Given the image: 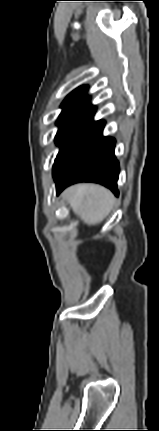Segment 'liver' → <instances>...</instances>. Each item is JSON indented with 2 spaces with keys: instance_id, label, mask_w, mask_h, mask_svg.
Returning a JSON list of instances; mask_svg holds the SVG:
<instances>
[{
  "instance_id": "1",
  "label": "liver",
  "mask_w": 159,
  "mask_h": 431,
  "mask_svg": "<svg viewBox=\"0 0 159 431\" xmlns=\"http://www.w3.org/2000/svg\"><path fill=\"white\" fill-rule=\"evenodd\" d=\"M73 212L88 225L101 223L111 212L115 198L106 188L97 184H78L63 193Z\"/></svg>"
}]
</instances>
